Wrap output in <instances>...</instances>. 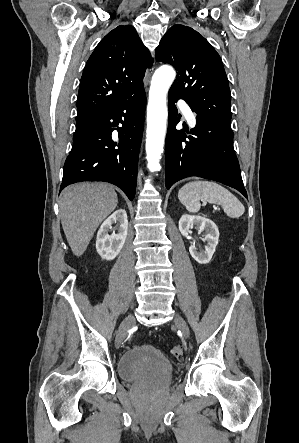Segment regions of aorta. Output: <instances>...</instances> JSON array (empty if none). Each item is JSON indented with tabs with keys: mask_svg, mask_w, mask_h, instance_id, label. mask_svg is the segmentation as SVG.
<instances>
[{
	"mask_svg": "<svg viewBox=\"0 0 299 443\" xmlns=\"http://www.w3.org/2000/svg\"><path fill=\"white\" fill-rule=\"evenodd\" d=\"M176 73L170 66H161L153 74L147 108L146 158L151 172L161 169L168 110L166 97Z\"/></svg>",
	"mask_w": 299,
	"mask_h": 443,
	"instance_id": "762f6f07",
	"label": "aorta"
}]
</instances>
